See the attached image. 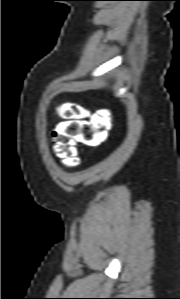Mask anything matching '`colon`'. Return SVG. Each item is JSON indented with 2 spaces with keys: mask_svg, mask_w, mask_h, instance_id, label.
I'll return each mask as SVG.
<instances>
[{
  "mask_svg": "<svg viewBox=\"0 0 180 299\" xmlns=\"http://www.w3.org/2000/svg\"><path fill=\"white\" fill-rule=\"evenodd\" d=\"M65 114L68 117L53 131V150L58 159L69 165H76V142L97 145L105 141L112 121L109 117L98 114L95 120L89 118L87 111L75 104L67 105Z\"/></svg>",
  "mask_w": 180,
  "mask_h": 299,
  "instance_id": "obj_1",
  "label": "colon"
}]
</instances>
